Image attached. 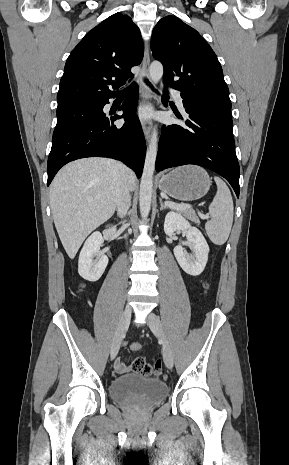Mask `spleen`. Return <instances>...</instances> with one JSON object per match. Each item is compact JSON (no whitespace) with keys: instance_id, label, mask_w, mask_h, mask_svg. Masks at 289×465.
<instances>
[{"instance_id":"3e777b00","label":"spleen","mask_w":289,"mask_h":465,"mask_svg":"<svg viewBox=\"0 0 289 465\" xmlns=\"http://www.w3.org/2000/svg\"><path fill=\"white\" fill-rule=\"evenodd\" d=\"M217 193L209 205V217L205 230L209 239L216 245H223L230 234L233 223V200L226 183L214 177Z\"/></svg>"}]
</instances>
